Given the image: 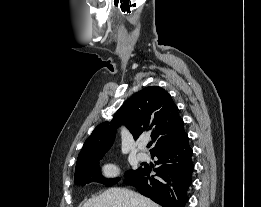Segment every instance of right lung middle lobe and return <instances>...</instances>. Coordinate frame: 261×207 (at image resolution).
Wrapping results in <instances>:
<instances>
[{
  "label": "right lung middle lobe",
  "mask_w": 261,
  "mask_h": 207,
  "mask_svg": "<svg viewBox=\"0 0 261 207\" xmlns=\"http://www.w3.org/2000/svg\"><path fill=\"white\" fill-rule=\"evenodd\" d=\"M102 157L90 159L86 163L79 165L75 168V177L74 182L77 185H84L88 184L90 182H97L104 184L106 186L114 185L118 182L119 178L115 179H106L101 176L100 168H99V160ZM141 168V167H140ZM140 168L137 170H129L126 172L125 177H129L135 172H137Z\"/></svg>",
  "instance_id": "obj_1"
}]
</instances>
